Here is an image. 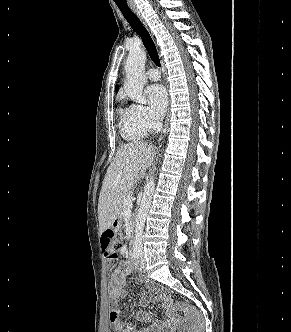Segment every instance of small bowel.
<instances>
[{
  "mask_svg": "<svg viewBox=\"0 0 291 332\" xmlns=\"http://www.w3.org/2000/svg\"><path fill=\"white\" fill-rule=\"evenodd\" d=\"M120 253L122 255L126 254V248L121 247ZM135 266L129 264L128 262L120 263L111 274V281L108 288V297L111 306L114 309L118 308V301L127 296V291L125 289L126 279L130 272L135 271ZM153 301L160 302L161 306L166 310L167 319L164 321L156 320L152 323L151 329H135V330H123L119 324L115 325L116 332H158L163 331L165 328H171L177 326L181 322V318L177 316L174 311L170 310L167 306L169 299L163 298L162 291L155 286L149 287L148 292L145 294L143 301L140 304V308H143L145 302ZM143 320H147L148 316L145 313H141Z\"/></svg>",
  "mask_w": 291,
  "mask_h": 332,
  "instance_id": "small-bowel-1",
  "label": "small bowel"
}]
</instances>
